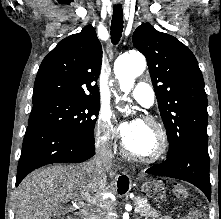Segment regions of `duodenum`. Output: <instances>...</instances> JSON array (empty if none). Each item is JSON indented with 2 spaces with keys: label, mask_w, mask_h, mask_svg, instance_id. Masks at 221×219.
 <instances>
[{
  "label": "duodenum",
  "mask_w": 221,
  "mask_h": 219,
  "mask_svg": "<svg viewBox=\"0 0 221 219\" xmlns=\"http://www.w3.org/2000/svg\"><path fill=\"white\" fill-rule=\"evenodd\" d=\"M84 218V213L82 210L74 213L72 216H70L69 219H83Z\"/></svg>",
  "instance_id": "duodenum-1"
}]
</instances>
